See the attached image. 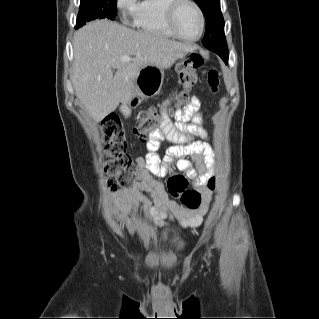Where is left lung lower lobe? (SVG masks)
<instances>
[{
    "label": "left lung lower lobe",
    "mask_w": 319,
    "mask_h": 319,
    "mask_svg": "<svg viewBox=\"0 0 319 319\" xmlns=\"http://www.w3.org/2000/svg\"><path fill=\"white\" fill-rule=\"evenodd\" d=\"M228 62V55H226V60H225V63H227Z\"/></svg>",
    "instance_id": "0a47b994"
}]
</instances>
